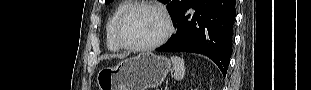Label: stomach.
Segmentation results:
<instances>
[{
    "label": "stomach",
    "instance_id": "obj_1",
    "mask_svg": "<svg viewBox=\"0 0 311 90\" xmlns=\"http://www.w3.org/2000/svg\"><path fill=\"white\" fill-rule=\"evenodd\" d=\"M170 69L168 58L146 52L100 69L96 81L100 90H147L161 85Z\"/></svg>",
    "mask_w": 311,
    "mask_h": 90
}]
</instances>
